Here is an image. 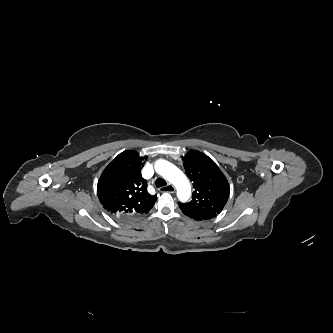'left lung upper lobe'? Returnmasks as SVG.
<instances>
[{"label":"left lung upper lobe","instance_id":"obj_1","mask_svg":"<svg viewBox=\"0 0 333 333\" xmlns=\"http://www.w3.org/2000/svg\"><path fill=\"white\" fill-rule=\"evenodd\" d=\"M194 192L188 203L179 206L201 214H219L229 197V184L219 167L207 155L193 150L182 157Z\"/></svg>","mask_w":333,"mask_h":333}]
</instances>
